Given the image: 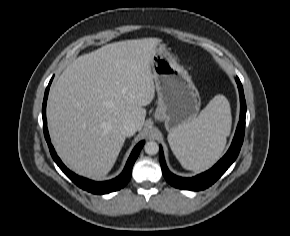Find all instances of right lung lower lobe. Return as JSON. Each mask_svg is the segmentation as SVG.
<instances>
[{
    "instance_id": "obj_1",
    "label": "right lung lower lobe",
    "mask_w": 290,
    "mask_h": 236,
    "mask_svg": "<svg viewBox=\"0 0 290 236\" xmlns=\"http://www.w3.org/2000/svg\"><path fill=\"white\" fill-rule=\"evenodd\" d=\"M51 82H52V79L50 80L49 85L47 86L45 90V96H44V101L42 105V116H43V131H44L45 139L48 143L50 154L52 158L54 159V161L56 162V164L64 172V174H66L77 186H79L80 188L88 192H91L94 194H106V193L114 192L116 190L123 188L129 182L131 178L133 164L136 161L140 153V150L142 149L144 145V141H141L135 146V148L133 149L126 163V166L123 172L115 179L105 181V182H95V181H92V180H89V179H86V178H83L74 174L73 172L68 170L66 166L62 163V161L57 156L50 142V137H49L48 129H47V121H46V101H47L49 87H50Z\"/></svg>"
}]
</instances>
